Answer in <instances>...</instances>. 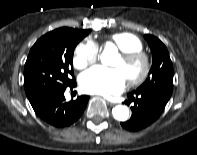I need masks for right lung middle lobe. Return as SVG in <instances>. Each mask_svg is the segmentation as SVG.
<instances>
[{
  "label": "right lung middle lobe",
  "mask_w": 197,
  "mask_h": 155,
  "mask_svg": "<svg viewBox=\"0 0 197 155\" xmlns=\"http://www.w3.org/2000/svg\"><path fill=\"white\" fill-rule=\"evenodd\" d=\"M90 30L59 28L33 45L24 67V87L31 105L65 89L73 80V53Z\"/></svg>",
  "instance_id": "right-lung-middle-lobe-1"
}]
</instances>
